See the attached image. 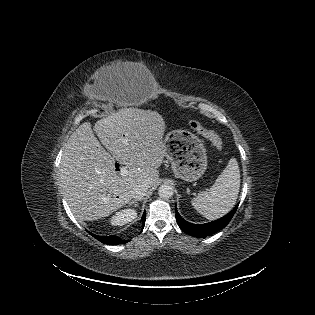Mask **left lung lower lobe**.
<instances>
[{"label": "left lung lower lobe", "instance_id": "1", "mask_svg": "<svg viewBox=\"0 0 315 315\" xmlns=\"http://www.w3.org/2000/svg\"><path fill=\"white\" fill-rule=\"evenodd\" d=\"M237 208H238V205H236V207L230 213L225 215L224 217H222L218 220L206 223V224L189 223L186 220H184L179 215L177 209H175L176 221L183 232L190 234V235L197 237V238H204V237L212 235V234L218 232L219 230L223 229L224 227H226L227 224L232 219L233 215L235 214Z\"/></svg>", "mask_w": 315, "mask_h": 315}]
</instances>
